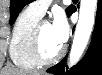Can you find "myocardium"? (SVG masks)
<instances>
[{"instance_id": "1", "label": "myocardium", "mask_w": 102, "mask_h": 75, "mask_svg": "<svg viewBox=\"0 0 102 75\" xmlns=\"http://www.w3.org/2000/svg\"><path fill=\"white\" fill-rule=\"evenodd\" d=\"M49 24L48 21H39L31 35L30 39V52L33 60L37 63V65H49L55 61H57L64 53V47H62L54 56L45 57L41 51L40 46V36L43 25Z\"/></svg>"}]
</instances>
